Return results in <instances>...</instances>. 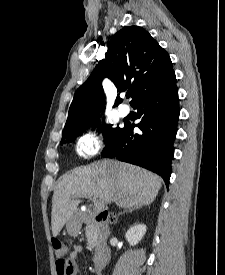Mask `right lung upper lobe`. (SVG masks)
Instances as JSON below:
<instances>
[{
    "mask_svg": "<svg viewBox=\"0 0 225 275\" xmlns=\"http://www.w3.org/2000/svg\"><path fill=\"white\" fill-rule=\"evenodd\" d=\"M105 58L77 89L66 126L93 117L103 103L102 80L109 78L118 92L132 90L133 105L142 96L157 92L175 80L168 53L139 26L124 27L111 39ZM122 102L117 96L115 106Z\"/></svg>",
    "mask_w": 225,
    "mask_h": 275,
    "instance_id": "right-lung-upper-lobe-1",
    "label": "right lung upper lobe"
}]
</instances>
